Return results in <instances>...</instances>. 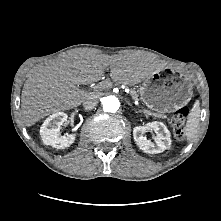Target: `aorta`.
Returning a JSON list of instances; mask_svg holds the SVG:
<instances>
[{"label":"aorta","instance_id":"1","mask_svg":"<svg viewBox=\"0 0 221 221\" xmlns=\"http://www.w3.org/2000/svg\"><path fill=\"white\" fill-rule=\"evenodd\" d=\"M102 105L105 112L114 113L119 109L120 102L117 97L110 95L102 100Z\"/></svg>","mask_w":221,"mask_h":221}]
</instances>
